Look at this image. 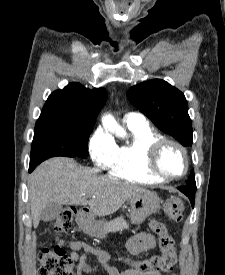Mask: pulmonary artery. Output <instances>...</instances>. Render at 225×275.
<instances>
[{
  "instance_id": "pulmonary-artery-1",
  "label": "pulmonary artery",
  "mask_w": 225,
  "mask_h": 275,
  "mask_svg": "<svg viewBox=\"0 0 225 275\" xmlns=\"http://www.w3.org/2000/svg\"><path fill=\"white\" fill-rule=\"evenodd\" d=\"M124 120L127 125H142L147 123L145 116L137 112H130L125 114Z\"/></svg>"
}]
</instances>
